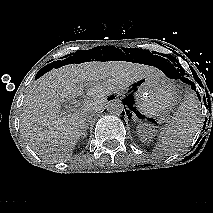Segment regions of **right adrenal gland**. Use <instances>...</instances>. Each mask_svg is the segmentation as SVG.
Returning a JSON list of instances; mask_svg holds the SVG:
<instances>
[{
  "mask_svg": "<svg viewBox=\"0 0 213 213\" xmlns=\"http://www.w3.org/2000/svg\"><path fill=\"white\" fill-rule=\"evenodd\" d=\"M88 125H89V123L85 124V128H84V131L82 133V138H85L87 136Z\"/></svg>",
  "mask_w": 213,
  "mask_h": 213,
  "instance_id": "2a0ac1e0",
  "label": "right adrenal gland"
}]
</instances>
